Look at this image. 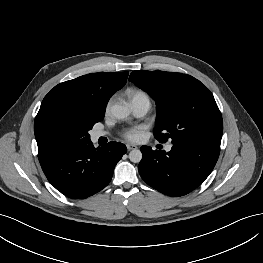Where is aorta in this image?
<instances>
[{"label":"aorta","instance_id":"obj_1","mask_svg":"<svg viewBox=\"0 0 263 263\" xmlns=\"http://www.w3.org/2000/svg\"><path fill=\"white\" fill-rule=\"evenodd\" d=\"M112 115L117 119H125L130 114V109L128 106L123 104H115L111 107ZM129 159L131 162L139 163L142 159V153L138 149H133L129 153Z\"/></svg>","mask_w":263,"mask_h":263}]
</instances>
